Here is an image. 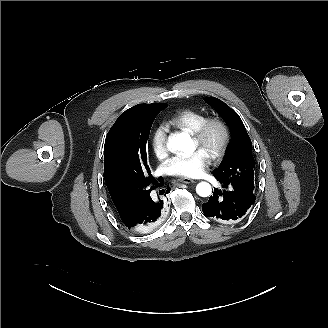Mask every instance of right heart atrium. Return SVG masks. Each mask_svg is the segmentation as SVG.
<instances>
[{"mask_svg":"<svg viewBox=\"0 0 328 328\" xmlns=\"http://www.w3.org/2000/svg\"><path fill=\"white\" fill-rule=\"evenodd\" d=\"M167 133L168 128L163 122L154 124L150 132L149 148L156 157L161 159L169 154Z\"/></svg>","mask_w":328,"mask_h":328,"instance_id":"d8ad5b80","label":"right heart atrium"}]
</instances>
